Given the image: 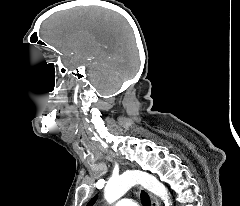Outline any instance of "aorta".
Returning a JSON list of instances; mask_svg holds the SVG:
<instances>
[{"label":"aorta","instance_id":"762f6f07","mask_svg":"<svg viewBox=\"0 0 240 206\" xmlns=\"http://www.w3.org/2000/svg\"><path fill=\"white\" fill-rule=\"evenodd\" d=\"M136 184H141L160 197L165 206L172 205L167 188L155 176L142 171H129L117 178L110 179L105 186L104 197L108 203H114Z\"/></svg>","mask_w":240,"mask_h":206}]
</instances>
